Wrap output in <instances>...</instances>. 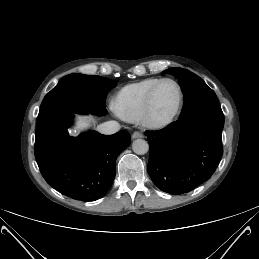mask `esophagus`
I'll list each match as a JSON object with an SVG mask.
<instances>
[{
	"instance_id": "obj_1",
	"label": "esophagus",
	"mask_w": 259,
	"mask_h": 259,
	"mask_svg": "<svg viewBox=\"0 0 259 259\" xmlns=\"http://www.w3.org/2000/svg\"><path fill=\"white\" fill-rule=\"evenodd\" d=\"M144 135L139 132V131H135L133 134H132V139H137V138H143Z\"/></svg>"
}]
</instances>
